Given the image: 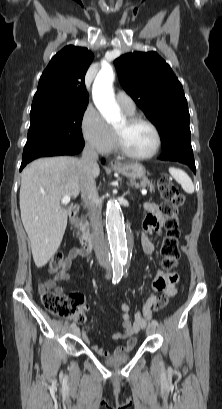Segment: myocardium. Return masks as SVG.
Segmentation results:
<instances>
[{
    "label": "myocardium",
    "instance_id": "f54148a6",
    "mask_svg": "<svg viewBox=\"0 0 222 409\" xmlns=\"http://www.w3.org/2000/svg\"><path fill=\"white\" fill-rule=\"evenodd\" d=\"M126 122H127V124L129 126H133V125L138 124V123H143V124L148 125L155 133L156 143H155V146H154V148H153V150L151 152H149L147 154H142V155L134 154L131 151H129L128 148L126 147L122 135L115 130V143H116V147H117L118 151L122 155H124V156H126V157H128L130 159H135V160H146V159H150V158L154 157L159 152V150L161 148V145H162L161 133H160L158 127L156 126V124L153 123L152 121H150L147 118L140 117V116H135V115H131V116L128 115L126 117Z\"/></svg>",
    "mask_w": 222,
    "mask_h": 409
}]
</instances>
